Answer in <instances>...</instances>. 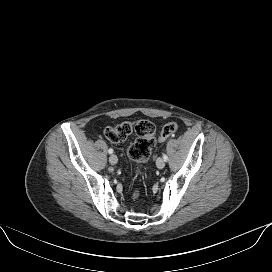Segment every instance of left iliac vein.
<instances>
[{"instance_id": "4c4485c4", "label": "left iliac vein", "mask_w": 272, "mask_h": 272, "mask_svg": "<svg viewBox=\"0 0 272 272\" xmlns=\"http://www.w3.org/2000/svg\"><path fill=\"white\" fill-rule=\"evenodd\" d=\"M156 165L159 169H163L165 167V160L159 157L156 161Z\"/></svg>"}]
</instances>
